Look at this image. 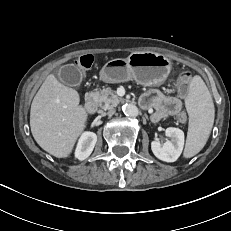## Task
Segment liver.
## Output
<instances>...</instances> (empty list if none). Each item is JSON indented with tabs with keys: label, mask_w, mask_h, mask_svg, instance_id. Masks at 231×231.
<instances>
[{
	"label": "liver",
	"mask_w": 231,
	"mask_h": 231,
	"mask_svg": "<svg viewBox=\"0 0 231 231\" xmlns=\"http://www.w3.org/2000/svg\"><path fill=\"white\" fill-rule=\"evenodd\" d=\"M76 90L50 74L35 95L30 127L37 144L57 158L67 157L86 128L88 114Z\"/></svg>",
	"instance_id": "6515ba94"
}]
</instances>
